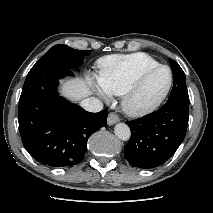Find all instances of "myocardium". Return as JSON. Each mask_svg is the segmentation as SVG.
Masks as SVG:
<instances>
[{
	"instance_id": "1",
	"label": "myocardium",
	"mask_w": 213,
	"mask_h": 213,
	"mask_svg": "<svg viewBox=\"0 0 213 213\" xmlns=\"http://www.w3.org/2000/svg\"><path fill=\"white\" fill-rule=\"evenodd\" d=\"M160 69H166L169 72V82L165 90L157 98H155L154 100L146 104H142V105L135 104L134 98L139 92L144 82L148 79L150 75H152L154 72ZM173 79L174 77H173L172 69L167 65L158 64L154 67H151L145 70L134 80V82L122 94L121 105L123 110L128 115L133 117H141L151 113L152 111L157 109L168 96L173 85Z\"/></svg>"
}]
</instances>
